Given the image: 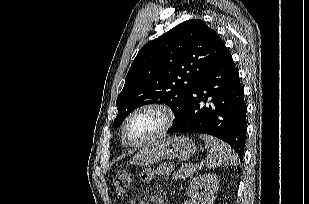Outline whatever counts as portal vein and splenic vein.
<instances>
[{"label":"portal vein and splenic vein","mask_w":309,"mask_h":204,"mask_svg":"<svg viewBox=\"0 0 309 204\" xmlns=\"http://www.w3.org/2000/svg\"><path fill=\"white\" fill-rule=\"evenodd\" d=\"M199 164H200V166H202V165H203V163H202V162H200Z\"/></svg>","instance_id":"portal-vein-and-splenic-vein-1"}]
</instances>
